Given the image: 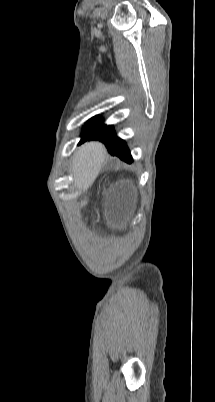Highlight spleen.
Here are the masks:
<instances>
[{
    "label": "spleen",
    "instance_id": "spleen-1",
    "mask_svg": "<svg viewBox=\"0 0 215 402\" xmlns=\"http://www.w3.org/2000/svg\"><path fill=\"white\" fill-rule=\"evenodd\" d=\"M103 159L104 153L96 143H83L81 152L82 165L76 166V173L80 174V181L90 182L92 179L91 174L93 173V169L94 174L97 173Z\"/></svg>",
    "mask_w": 215,
    "mask_h": 402
}]
</instances>
